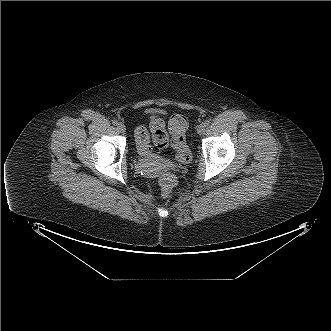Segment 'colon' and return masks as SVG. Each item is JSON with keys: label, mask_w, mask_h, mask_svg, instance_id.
I'll list each match as a JSON object with an SVG mask.
<instances>
[{"label": "colon", "mask_w": 331, "mask_h": 331, "mask_svg": "<svg viewBox=\"0 0 331 331\" xmlns=\"http://www.w3.org/2000/svg\"><path fill=\"white\" fill-rule=\"evenodd\" d=\"M154 125L153 142L160 148L164 149L171 145L177 152V157L182 163H187L190 160V152L187 148L185 135L188 129V120L182 114H175L170 117L168 122V130H165L164 125H161L157 122V119L154 118L151 122ZM142 138L141 149L146 150L149 146L144 132L140 133ZM176 180L175 177L169 173H165L159 178V185L161 187V193L163 196H167L171 193L175 186Z\"/></svg>", "instance_id": "obj_1"}]
</instances>
